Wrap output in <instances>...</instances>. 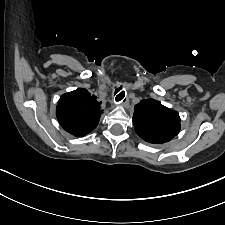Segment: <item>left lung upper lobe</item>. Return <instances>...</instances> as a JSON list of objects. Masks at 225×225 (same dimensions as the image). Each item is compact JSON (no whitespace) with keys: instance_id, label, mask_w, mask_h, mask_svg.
Wrapping results in <instances>:
<instances>
[{"instance_id":"5c2ea615","label":"left lung upper lobe","mask_w":225,"mask_h":225,"mask_svg":"<svg viewBox=\"0 0 225 225\" xmlns=\"http://www.w3.org/2000/svg\"><path fill=\"white\" fill-rule=\"evenodd\" d=\"M133 124L145 141L162 144L172 140L180 130V117L175 111L154 99H144L134 107Z\"/></svg>"}]
</instances>
